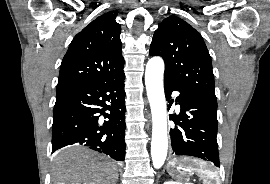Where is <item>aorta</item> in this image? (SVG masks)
I'll use <instances>...</instances> for the list:
<instances>
[{
  "mask_svg": "<svg viewBox=\"0 0 270 184\" xmlns=\"http://www.w3.org/2000/svg\"><path fill=\"white\" fill-rule=\"evenodd\" d=\"M164 61L161 57L149 59L145 69V84L152 114L151 158L159 169L166 160L168 149L167 110L163 88Z\"/></svg>",
  "mask_w": 270,
  "mask_h": 184,
  "instance_id": "1",
  "label": "aorta"
}]
</instances>
